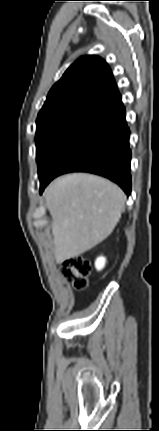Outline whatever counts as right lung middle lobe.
I'll list each match as a JSON object with an SVG mask.
<instances>
[{
  "label": "right lung middle lobe",
  "mask_w": 159,
  "mask_h": 431,
  "mask_svg": "<svg viewBox=\"0 0 159 431\" xmlns=\"http://www.w3.org/2000/svg\"><path fill=\"white\" fill-rule=\"evenodd\" d=\"M86 120L71 116H50L36 121V152L40 174L59 143Z\"/></svg>",
  "instance_id": "right-lung-middle-lobe-1"
}]
</instances>
